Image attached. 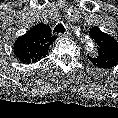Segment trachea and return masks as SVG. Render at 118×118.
<instances>
[{"label":"trachea","instance_id":"obj_1","mask_svg":"<svg viewBox=\"0 0 118 118\" xmlns=\"http://www.w3.org/2000/svg\"><path fill=\"white\" fill-rule=\"evenodd\" d=\"M65 32V28L64 26L59 23L58 25L55 26L54 30H53V33H61V34H64Z\"/></svg>","mask_w":118,"mask_h":118}]
</instances>
